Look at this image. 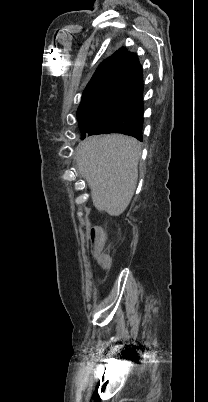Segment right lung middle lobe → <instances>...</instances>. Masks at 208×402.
Returning <instances> with one entry per match:
<instances>
[{
	"label": "right lung middle lobe",
	"mask_w": 208,
	"mask_h": 402,
	"mask_svg": "<svg viewBox=\"0 0 208 402\" xmlns=\"http://www.w3.org/2000/svg\"><path fill=\"white\" fill-rule=\"evenodd\" d=\"M104 89L105 87L100 91H94L83 95L77 111L80 123L95 117H110L113 119L118 117L122 109V95L119 91L114 90L113 87ZM81 130L82 138H84L88 131Z\"/></svg>",
	"instance_id": "right-lung-middle-lobe-1"
}]
</instances>
